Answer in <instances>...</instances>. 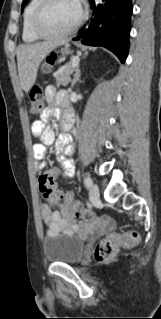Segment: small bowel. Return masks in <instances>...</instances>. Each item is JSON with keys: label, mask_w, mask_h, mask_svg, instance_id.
Segmentation results:
<instances>
[{"label": "small bowel", "mask_w": 161, "mask_h": 319, "mask_svg": "<svg viewBox=\"0 0 161 319\" xmlns=\"http://www.w3.org/2000/svg\"><path fill=\"white\" fill-rule=\"evenodd\" d=\"M45 95L49 103L61 105L65 108L63 113L64 120H72V113L67 109V97L65 93L58 92L52 85L46 87ZM60 109L54 106H49L44 111L40 120H36L31 126V135L34 139H40L41 143L32 145L33 155L37 160L36 169L38 171L49 169L48 163L43 158L45 156V146L55 143V153L58 156L64 167L63 178L70 179L73 176V162L69 155L72 154V137L71 135H62L56 139L54 131L50 127L45 126V120L51 116H59ZM65 152V155L62 152ZM69 202H78L73 193L67 192L60 204V211H53L48 203H43L40 206L41 217L48 228L50 234H56L61 231L67 233L83 232L103 234L114 229V225L108 217L95 216L86 221L69 220L67 214V204ZM56 205V204H55Z\"/></svg>", "instance_id": "1"}]
</instances>
